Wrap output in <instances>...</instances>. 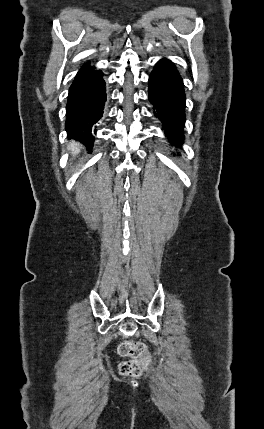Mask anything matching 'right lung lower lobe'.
Instances as JSON below:
<instances>
[{
  "instance_id": "obj_1",
  "label": "right lung lower lobe",
  "mask_w": 264,
  "mask_h": 429,
  "mask_svg": "<svg viewBox=\"0 0 264 429\" xmlns=\"http://www.w3.org/2000/svg\"><path fill=\"white\" fill-rule=\"evenodd\" d=\"M102 76L101 70L96 71L86 63L69 89L65 129L69 137L83 142L88 149L93 146L96 124L103 115L106 101Z\"/></svg>"
}]
</instances>
